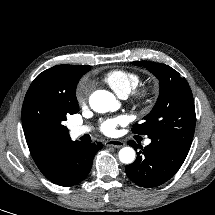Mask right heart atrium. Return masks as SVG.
<instances>
[{"label":"right heart atrium","mask_w":215,"mask_h":215,"mask_svg":"<svg viewBox=\"0 0 215 215\" xmlns=\"http://www.w3.org/2000/svg\"><path fill=\"white\" fill-rule=\"evenodd\" d=\"M91 90V83L87 80L81 81L75 92L76 100L80 105H84L87 102Z\"/></svg>","instance_id":"right-heart-atrium-1"}]
</instances>
